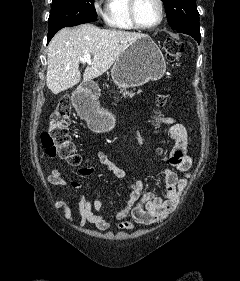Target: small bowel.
I'll return each mask as SVG.
<instances>
[{
  "mask_svg": "<svg viewBox=\"0 0 240 281\" xmlns=\"http://www.w3.org/2000/svg\"><path fill=\"white\" fill-rule=\"evenodd\" d=\"M152 119L169 127V136L174 144L169 153V163L172 168H164L162 175L165 183V194L159 196L154 192H143V183L140 180L131 182L128 191V201L119 210H113V201H108V209L112 216L118 221L119 230H132L134 224L150 225L163 220L178 205L181 192L187 186L192 159L187 155V148L191 141L189 133L184 125L177 123L172 117L153 115ZM98 161L105 166L117 178H125L126 172L117 166L104 152L97 153ZM94 167L89 165L78 169V174L83 177L90 176ZM184 172L185 176L179 178L177 172ZM49 183L62 186L79 197L78 211L80 224H92L99 231L110 229V221L103 214L102 192H97L95 199L81 193V184L75 179H66L58 169H53L47 176ZM54 207L61 209L67 220L73 218L70 205L59 200Z\"/></svg>",
  "mask_w": 240,
  "mask_h": 281,
  "instance_id": "small-bowel-1",
  "label": "small bowel"
}]
</instances>
